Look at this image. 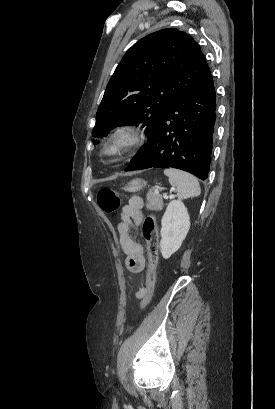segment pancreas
<instances>
[{"label": "pancreas", "mask_w": 275, "mask_h": 409, "mask_svg": "<svg viewBox=\"0 0 275 409\" xmlns=\"http://www.w3.org/2000/svg\"><path fill=\"white\" fill-rule=\"evenodd\" d=\"M147 209L150 211H161L163 207V198L161 194H156L153 190L147 192Z\"/></svg>", "instance_id": "obj_1"}]
</instances>
